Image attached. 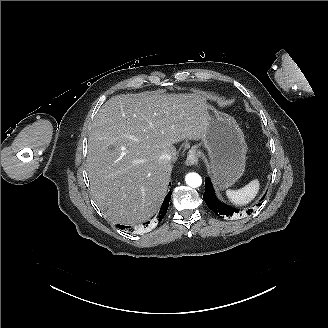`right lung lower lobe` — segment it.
<instances>
[{"label": "right lung lower lobe", "instance_id": "1", "mask_svg": "<svg viewBox=\"0 0 328 328\" xmlns=\"http://www.w3.org/2000/svg\"><path fill=\"white\" fill-rule=\"evenodd\" d=\"M171 184V183H170ZM171 199V191L166 195L165 199H164V202L160 208V211L158 212V214L156 215V217H154L153 219V222H160L163 217L165 216L166 212H167V209H168V205H169V201ZM148 224H150V221L144 223L145 226H148ZM118 227L120 229H126L128 228V226H123V225H118Z\"/></svg>", "mask_w": 328, "mask_h": 328}]
</instances>
